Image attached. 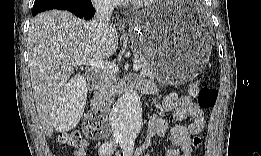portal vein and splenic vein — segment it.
Masks as SVG:
<instances>
[{"label": "portal vein and splenic vein", "instance_id": "obj_1", "mask_svg": "<svg viewBox=\"0 0 261 156\" xmlns=\"http://www.w3.org/2000/svg\"><path fill=\"white\" fill-rule=\"evenodd\" d=\"M71 65L74 67L80 66V65H88V66L102 69L104 71H111V72H117L119 70L117 65L104 61L102 59H88V58L78 59V60L73 61L71 63ZM140 67H141L140 64H138L136 62L133 64V69L136 71L139 70Z\"/></svg>", "mask_w": 261, "mask_h": 156}]
</instances>
